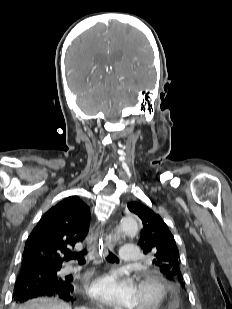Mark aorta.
Listing matches in <instances>:
<instances>
[{"label": "aorta", "mask_w": 232, "mask_h": 309, "mask_svg": "<svg viewBox=\"0 0 232 309\" xmlns=\"http://www.w3.org/2000/svg\"><path fill=\"white\" fill-rule=\"evenodd\" d=\"M139 230V224L134 216L130 217H124L121 219L118 229H117V236H115V239L119 237L121 233L124 234H135Z\"/></svg>", "instance_id": "1"}]
</instances>
